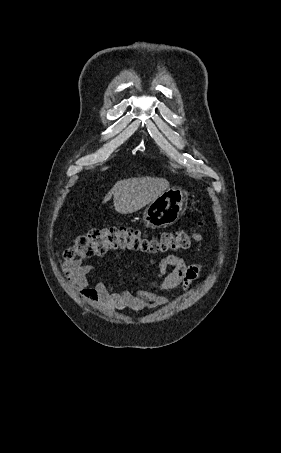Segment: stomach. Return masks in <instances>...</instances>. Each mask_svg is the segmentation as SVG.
Here are the masks:
<instances>
[{
  "label": "stomach",
  "instance_id": "obj_1",
  "mask_svg": "<svg viewBox=\"0 0 281 453\" xmlns=\"http://www.w3.org/2000/svg\"><path fill=\"white\" fill-rule=\"evenodd\" d=\"M185 200L186 196L182 188L171 186L163 190L157 198L149 202L143 212L145 227H151V229L170 227V224L178 220Z\"/></svg>",
  "mask_w": 281,
  "mask_h": 453
}]
</instances>
